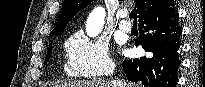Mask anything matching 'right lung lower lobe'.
<instances>
[{"mask_svg":"<svg viewBox=\"0 0 205 87\" xmlns=\"http://www.w3.org/2000/svg\"><path fill=\"white\" fill-rule=\"evenodd\" d=\"M178 12L173 0H163L139 18L140 36L136 46L148 52L133 61H123V71L132 82L149 87H175L180 65Z\"/></svg>","mask_w":205,"mask_h":87,"instance_id":"obj_1","label":"right lung lower lobe"}]
</instances>
